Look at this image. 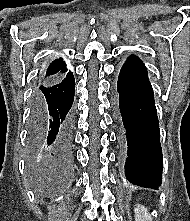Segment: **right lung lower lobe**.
<instances>
[{"label":"right lung lower lobe","instance_id":"98d812e1","mask_svg":"<svg viewBox=\"0 0 190 221\" xmlns=\"http://www.w3.org/2000/svg\"><path fill=\"white\" fill-rule=\"evenodd\" d=\"M75 79L72 73L42 81L33 94L29 149L43 154L41 170L66 169L72 161Z\"/></svg>","mask_w":190,"mask_h":221}]
</instances>
